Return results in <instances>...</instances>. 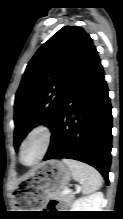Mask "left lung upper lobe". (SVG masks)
Wrapping results in <instances>:
<instances>
[{"label": "left lung upper lobe", "mask_w": 123, "mask_h": 219, "mask_svg": "<svg viewBox=\"0 0 123 219\" xmlns=\"http://www.w3.org/2000/svg\"><path fill=\"white\" fill-rule=\"evenodd\" d=\"M96 57L92 39L76 26L63 27L37 50L15 97L16 149L34 125L53 128L74 83Z\"/></svg>", "instance_id": "1"}]
</instances>
